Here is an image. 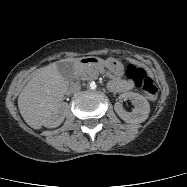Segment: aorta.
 I'll return each instance as SVG.
<instances>
[{
    "label": "aorta",
    "instance_id": "762f6f07",
    "mask_svg": "<svg viewBox=\"0 0 187 187\" xmlns=\"http://www.w3.org/2000/svg\"><path fill=\"white\" fill-rule=\"evenodd\" d=\"M90 88L94 90L96 88V84L95 83H90Z\"/></svg>",
    "mask_w": 187,
    "mask_h": 187
}]
</instances>
